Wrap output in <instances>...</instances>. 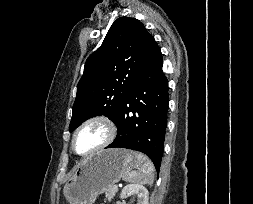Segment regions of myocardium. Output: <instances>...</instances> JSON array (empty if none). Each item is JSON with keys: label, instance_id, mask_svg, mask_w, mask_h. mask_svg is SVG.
Here are the masks:
<instances>
[{"label": "myocardium", "instance_id": "obj_1", "mask_svg": "<svg viewBox=\"0 0 253 204\" xmlns=\"http://www.w3.org/2000/svg\"><path fill=\"white\" fill-rule=\"evenodd\" d=\"M94 123L102 124L107 130V136L99 145H97L93 149L89 150L88 152L81 154V153L77 152L76 147H75L76 137L82 129H84L88 125H91ZM116 134H117V127H116L115 123L110 118L103 116V115L93 116V117H90V118L86 119L85 121H83L75 129V131L72 135V139H71V148L76 155H78L80 157H87V156H90L98 151L103 150L107 146H109L114 141Z\"/></svg>", "mask_w": 253, "mask_h": 204}]
</instances>
